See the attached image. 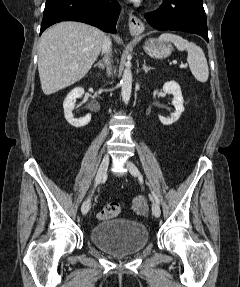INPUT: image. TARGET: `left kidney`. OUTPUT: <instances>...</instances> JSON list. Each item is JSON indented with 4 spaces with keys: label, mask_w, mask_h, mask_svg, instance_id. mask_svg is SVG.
Wrapping results in <instances>:
<instances>
[{
    "label": "left kidney",
    "mask_w": 240,
    "mask_h": 287,
    "mask_svg": "<svg viewBox=\"0 0 240 287\" xmlns=\"http://www.w3.org/2000/svg\"><path fill=\"white\" fill-rule=\"evenodd\" d=\"M163 91L165 93H169L173 95L172 104L175 107V112L171 115L170 118L159 116V119L162 124L171 125L179 119L180 115L184 111V106H183L184 100L182 97L180 86L175 81L166 82L163 85Z\"/></svg>",
    "instance_id": "left-kidney-1"
}]
</instances>
